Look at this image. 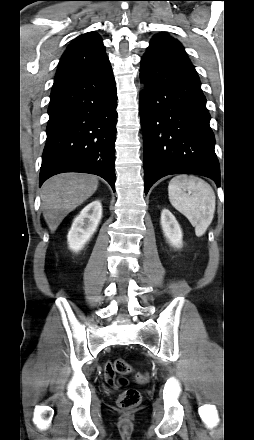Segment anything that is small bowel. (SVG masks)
I'll use <instances>...</instances> for the list:
<instances>
[{
    "label": "small bowel",
    "instance_id": "c3829d8e",
    "mask_svg": "<svg viewBox=\"0 0 254 440\" xmlns=\"http://www.w3.org/2000/svg\"><path fill=\"white\" fill-rule=\"evenodd\" d=\"M105 375L110 384L113 383V370L110 363L105 364Z\"/></svg>",
    "mask_w": 254,
    "mask_h": 440
}]
</instances>
